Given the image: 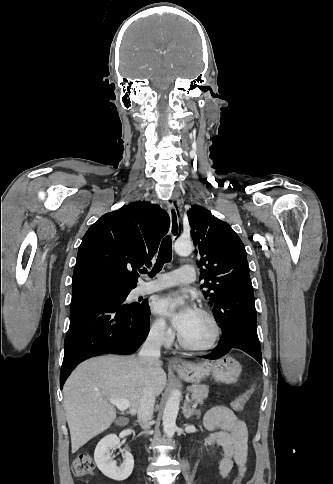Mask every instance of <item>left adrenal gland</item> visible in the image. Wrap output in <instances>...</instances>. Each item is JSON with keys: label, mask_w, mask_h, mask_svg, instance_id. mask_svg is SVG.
Here are the masks:
<instances>
[{"label": "left adrenal gland", "mask_w": 333, "mask_h": 484, "mask_svg": "<svg viewBox=\"0 0 333 484\" xmlns=\"http://www.w3.org/2000/svg\"><path fill=\"white\" fill-rule=\"evenodd\" d=\"M183 414L186 419H189L193 415H197V418L199 419L201 416V413L199 410L191 409L188 403L184 404L183 408Z\"/></svg>", "instance_id": "left-adrenal-gland-1"}]
</instances>
